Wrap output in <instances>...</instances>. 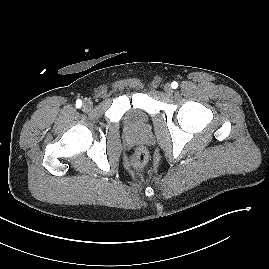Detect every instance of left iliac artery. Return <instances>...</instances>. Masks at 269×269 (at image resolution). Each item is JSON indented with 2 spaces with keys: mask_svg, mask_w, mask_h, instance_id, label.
Wrapping results in <instances>:
<instances>
[{
  "mask_svg": "<svg viewBox=\"0 0 269 269\" xmlns=\"http://www.w3.org/2000/svg\"><path fill=\"white\" fill-rule=\"evenodd\" d=\"M171 87L173 89H176L178 87V83L176 81H173L172 84H171Z\"/></svg>",
  "mask_w": 269,
  "mask_h": 269,
  "instance_id": "left-iliac-artery-1",
  "label": "left iliac artery"
}]
</instances>
